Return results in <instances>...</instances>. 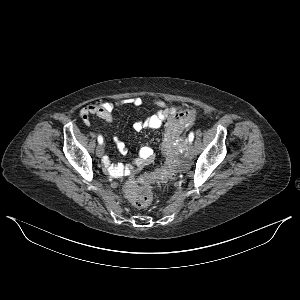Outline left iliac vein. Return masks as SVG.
I'll use <instances>...</instances> for the list:
<instances>
[{"label": "left iliac vein", "mask_w": 300, "mask_h": 300, "mask_svg": "<svg viewBox=\"0 0 300 300\" xmlns=\"http://www.w3.org/2000/svg\"><path fill=\"white\" fill-rule=\"evenodd\" d=\"M185 147H186V150H187V153H188L189 157H192V155H193V147H192L191 142L187 141L185 143Z\"/></svg>", "instance_id": "obj_1"}]
</instances>
